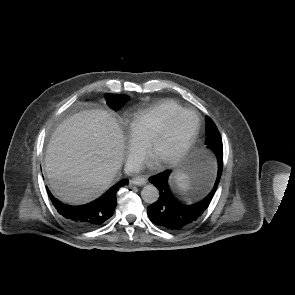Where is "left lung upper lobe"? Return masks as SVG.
<instances>
[{
    "label": "left lung upper lobe",
    "mask_w": 295,
    "mask_h": 295,
    "mask_svg": "<svg viewBox=\"0 0 295 295\" xmlns=\"http://www.w3.org/2000/svg\"><path fill=\"white\" fill-rule=\"evenodd\" d=\"M205 143L210 149L221 151L223 153L222 138L214 122L209 117H206Z\"/></svg>",
    "instance_id": "obj_1"
}]
</instances>
